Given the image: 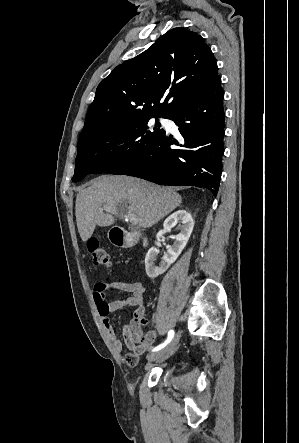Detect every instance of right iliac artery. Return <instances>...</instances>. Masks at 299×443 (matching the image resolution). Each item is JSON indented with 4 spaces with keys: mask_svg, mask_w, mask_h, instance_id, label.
I'll return each mask as SVG.
<instances>
[{
    "mask_svg": "<svg viewBox=\"0 0 299 443\" xmlns=\"http://www.w3.org/2000/svg\"><path fill=\"white\" fill-rule=\"evenodd\" d=\"M173 337H174V331L170 330L169 333H168L167 340L163 344L155 347L152 351H158V350L162 349L163 347H165L173 339Z\"/></svg>",
    "mask_w": 299,
    "mask_h": 443,
    "instance_id": "1",
    "label": "right iliac artery"
}]
</instances>
